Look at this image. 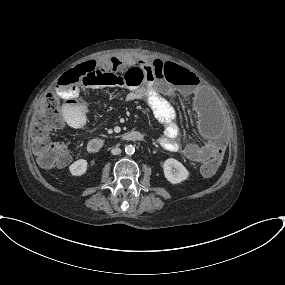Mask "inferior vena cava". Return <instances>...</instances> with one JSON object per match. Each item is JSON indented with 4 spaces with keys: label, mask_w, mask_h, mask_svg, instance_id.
Segmentation results:
<instances>
[{
    "label": "inferior vena cava",
    "mask_w": 285,
    "mask_h": 285,
    "mask_svg": "<svg viewBox=\"0 0 285 285\" xmlns=\"http://www.w3.org/2000/svg\"><path fill=\"white\" fill-rule=\"evenodd\" d=\"M111 153H112L113 155H119V154L121 153V149H120V148H113V149L111 150Z\"/></svg>",
    "instance_id": "1"
}]
</instances>
